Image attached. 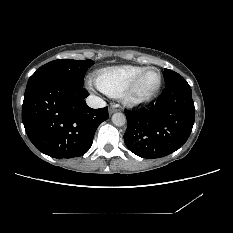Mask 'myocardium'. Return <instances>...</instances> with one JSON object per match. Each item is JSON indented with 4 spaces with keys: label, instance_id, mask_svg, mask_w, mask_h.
<instances>
[{
    "label": "myocardium",
    "instance_id": "myocardium-1",
    "mask_svg": "<svg viewBox=\"0 0 233 233\" xmlns=\"http://www.w3.org/2000/svg\"><path fill=\"white\" fill-rule=\"evenodd\" d=\"M150 70H156L158 72L159 81H158L157 87L149 95L144 96V97H137L135 94L136 88H137L138 84L140 83L141 79L143 78V76ZM161 85H162V75H161V72L159 71V69L156 67H147L143 71H141L139 74H137L131 80V82L126 86V88L124 89V91L121 94L122 101L125 105L130 106V107L145 104L156 97V95L160 91Z\"/></svg>",
    "mask_w": 233,
    "mask_h": 233
}]
</instances>
